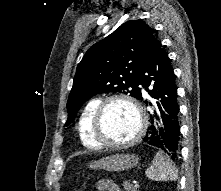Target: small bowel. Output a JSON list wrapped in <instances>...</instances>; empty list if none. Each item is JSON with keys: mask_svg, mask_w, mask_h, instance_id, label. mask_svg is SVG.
Masks as SVG:
<instances>
[{"mask_svg": "<svg viewBox=\"0 0 221 191\" xmlns=\"http://www.w3.org/2000/svg\"><path fill=\"white\" fill-rule=\"evenodd\" d=\"M97 191H121L120 188L111 181L99 180L95 184Z\"/></svg>", "mask_w": 221, "mask_h": 191, "instance_id": "1", "label": "small bowel"}]
</instances>
